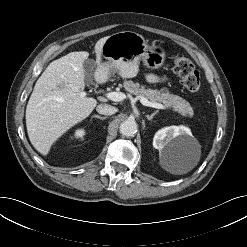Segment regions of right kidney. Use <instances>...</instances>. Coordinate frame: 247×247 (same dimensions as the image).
I'll list each match as a JSON object with an SVG mask.
<instances>
[{"instance_id": "obj_1", "label": "right kidney", "mask_w": 247, "mask_h": 247, "mask_svg": "<svg viewBox=\"0 0 247 247\" xmlns=\"http://www.w3.org/2000/svg\"><path fill=\"white\" fill-rule=\"evenodd\" d=\"M85 130L84 129H77L74 133V136H72L71 138H83L85 135Z\"/></svg>"}]
</instances>
